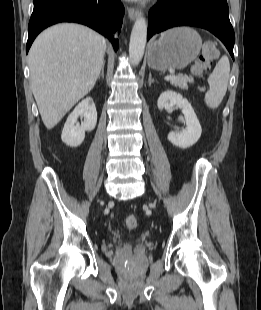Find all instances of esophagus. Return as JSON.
Returning <instances> with one entry per match:
<instances>
[{"instance_id":"34e87169","label":"esophagus","mask_w":261,"mask_h":310,"mask_svg":"<svg viewBox=\"0 0 261 310\" xmlns=\"http://www.w3.org/2000/svg\"><path fill=\"white\" fill-rule=\"evenodd\" d=\"M139 15H140V12L138 9H135L134 7H130L128 9V16L132 21L138 18Z\"/></svg>"}]
</instances>
